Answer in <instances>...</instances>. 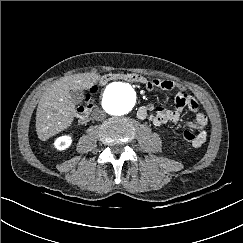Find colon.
Segmentation results:
<instances>
[{
	"label": "colon",
	"mask_w": 243,
	"mask_h": 243,
	"mask_svg": "<svg viewBox=\"0 0 243 243\" xmlns=\"http://www.w3.org/2000/svg\"><path fill=\"white\" fill-rule=\"evenodd\" d=\"M113 80H125L134 83H144L146 81L143 76L136 73H108L100 78L99 84L105 85ZM96 88L97 87H93L90 89L89 93L85 96V104L77 110L76 118L80 124L86 123L90 118L93 109V94L96 92ZM183 137L189 143H193L196 140V134L189 130L184 131Z\"/></svg>",
	"instance_id": "obj_1"
}]
</instances>
